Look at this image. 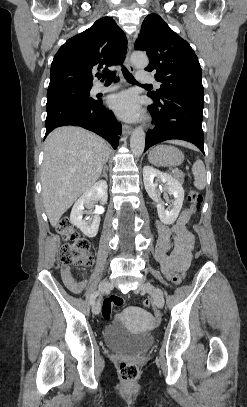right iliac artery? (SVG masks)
Returning a JSON list of instances; mask_svg holds the SVG:
<instances>
[{
	"mask_svg": "<svg viewBox=\"0 0 247 407\" xmlns=\"http://www.w3.org/2000/svg\"><path fill=\"white\" fill-rule=\"evenodd\" d=\"M99 294H100V290H96V291L93 292V294H92L91 297H90V305L93 306V305L95 304L96 297H97Z\"/></svg>",
	"mask_w": 247,
	"mask_h": 407,
	"instance_id": "right-iliac-artery-1",
	"label": "right iliac artery"
}]
</instances>
